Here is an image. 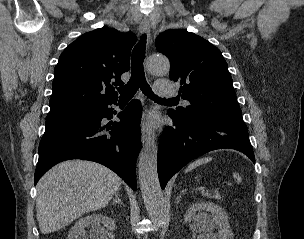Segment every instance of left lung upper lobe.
I'll list each match as a JSON object with an SVG mask.
<instances>
[{"label":"left lung upper lobe","mask_w":304,"mask_h":239,"mask_svg":"<svg viewBox=\"0 0 304 239\" xmlns=\"http://www.w3.org/2000/svg\"><path fill=\"white\" fill-rule=\"evenodd\" d=\"M156 48L171 63L170 79L191 104L174 111L182 119L226 118L243 120L233 81L221 51L202 37L185 30H167Z\"/></svg>","instance_id":"1"}]
</instances>
